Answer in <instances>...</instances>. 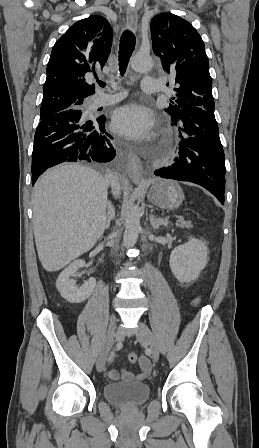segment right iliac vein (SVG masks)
Listing matches in <instances>:
<instances>
[{"mask_svg":"<svg viewBox=\"0 0 259 448\" xmlns=\"http://www.w3.org/2000/svg\"><path fill=\"white\" fill-rule=\"evenodd\" d=\"M115 327H116V315L114 313H112L110 316V323H109L108 331H107L105 341L103 344V348H102L99 358L96 362V369L98 372H102L104 370L107 357H108L110 350L113 346L114 337H115Z\"/></svg>","mask_w":259,"mask_h":448,"instance_id":"63e3f726","label":"right iliac vein"}]
</instances>
